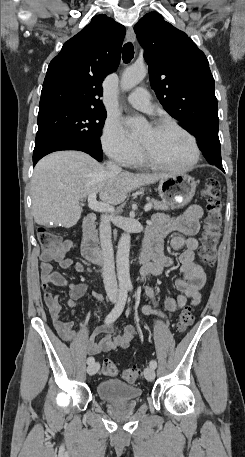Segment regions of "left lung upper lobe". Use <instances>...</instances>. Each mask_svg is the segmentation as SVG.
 Returning <instances> with one entry per match:
<instances>
[{"label":"left lung upper lobe","mask_w":245,"mask_h":457,"mask_svg":"<svg viewBox=\"0 0 245 457\" xmlns=\"http://www.w3.org/2000/svg\"><path fill=\"white\" fill-rule=\"evenodd\" d=\"M150 83L164 109L189 133L219 123L214 78L205 54L184 32L150 12L134 26Z\"/></svg>","instance_id":"5c2ea615"}]
</instances>
